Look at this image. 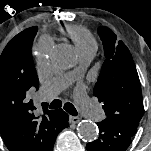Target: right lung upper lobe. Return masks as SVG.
<instances>
[{"label": "right lung upper lobe", "instance_id": "1", "mask_svg": "<svg viewBox=\"0 0 151 151\" xmlns=\"http://www.w3.org/2000/svg\"><path fill=\"white\" fill-rule=\"evenodd\" d=\"M19 42L16 35L4 50ZM38 85L36 70L20 81L0 73V132L9 151L53 150L55 137L50 128L54 111L43 107V113L38 116L33 101L26 98L30 89L38 90Z\"/></svg>", "mask_w": 151, "mask_h": 151}]
</instances>
